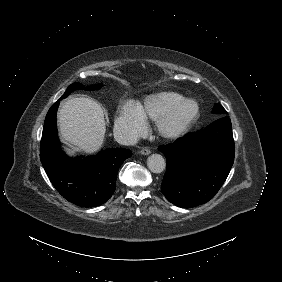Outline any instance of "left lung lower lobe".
Instances as JSON below:
<instances>
[{"label":"left lung lower lobe","instance_id":"0a47b994","mask_svg":"<svg viewBox=\"0 0 282 282\" xmlns=\"http://www.w3.org/2000/svg\"><path fill=\"white\" fill-rule=\"evenodd\" d=\"M166 157L161 184L174 205L191 208L208 202L225 182L234 162V140L230 118L220 119L159 148Z\"/></svg>","mask_w":282,"mask_h":282}]
</instances>
